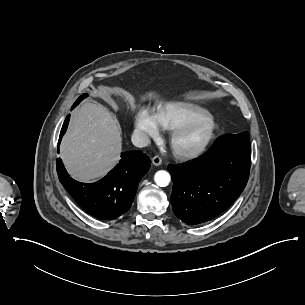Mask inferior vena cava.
I'll return each mask as SVG.
<instances>
[{"label":"inferior vena cava","instance_id":"602c4592","mask_svg":"<svg viewBox=\"0 0 305 305\" xmlns=\"http://www.w3.org/2000/svg\"><path fill=\"white\" fill-rule=\"evenodd\" d=\"M132 143L139 148L146 147L150 143L149 137L141 132L140 130H135L133 135H132Z\"/></svg>","mask_w":305,"mask_h":305}]
</instances>
